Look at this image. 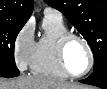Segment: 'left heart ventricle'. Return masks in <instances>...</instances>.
<instances>
[{
	"label": "left heart ventricle",
	"instance_id": "obj_1",
	"mask_svg": "<svg viewBox=\"0 0 107 89\" xmlns=\"http://www.w3.org/2000/svg\"><path fill=\"white\" fill-rule=\"evenodd\" d=\"M66 63L73 74H80L88 67L89 55L79 40L73 39L69 42L66 49Z\"/></svg>",
	"mask_w": 107,
	"mask_h": 89
}]
</instances>
